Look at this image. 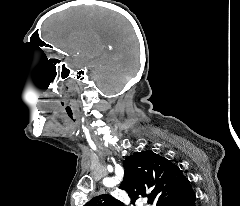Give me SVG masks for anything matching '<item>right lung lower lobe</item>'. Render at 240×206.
Returning <instances> with one entry per match:
<instances>
[{"instance_id":"right-lung-lower-lobe-1","label":"right lung lower lobe","mask_w":240,"mask_h":206,"mask_svg":"<svg viewBox=\"0 0 240 206\" xmlns=\"http://www.w3.org/2000/svg\"><path fill=\"white\" fill-rule=\"evenodd\" d=\"M196 196L189 184L179 194L167 199L160 206H195Z\"/></svg>"}]
</instances>
